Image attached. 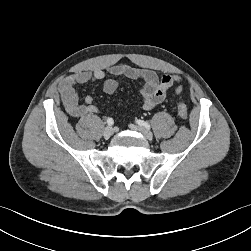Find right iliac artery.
I'll return each mask as SVG.
<instances>
[{
	"label": "right iliac artery",
	"instance_id": "82829eb1",
	"mask_svg": "<svg viewBox=\"0 0 251 251\" xmlns=\"http://www.w3.org/2000/svg\"><path fill=\"white\" fill-rule=\"evenodd\" d=\"M107 124H108L109 126H113V124H114L113 119H112V118H108V119H107Z\"/></svg>",
	"mask_w": 251,
	"mask_h": 251
}]
</instances>
